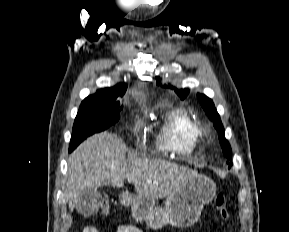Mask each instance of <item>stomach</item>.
<instances>
[{
  "mask_svg": "<svg viewBox=\"0 0 289 232\" xmlns=\"http://www.w3.org/2000/svg\"><path fill=\"white\" fill-rule=\"evenodd\" d=\"M215 193V183L196 174L168 196L164 208L157 206L153 199L129 193L122 194L120 200L131 207L135 220L145 221L152 229H161L165 225L186 228L199 219L204 205L212 201Z\"/></svg>",
  "mask_w": 289,
  "mask_h": 232,
  "instance_id": "1",
  "label": "stomach"
}]
</instances>
